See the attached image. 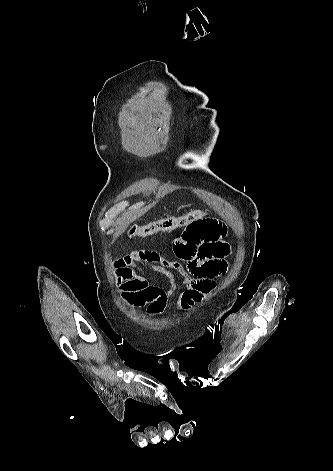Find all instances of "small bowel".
Segmentation results:
<instances>
[{
	"mask_svg": "<svg viewBox=\"0 0 333 471\" xmlns=\"http://www.w3.org/2000/svg\"><path fill=\"white\" fill-rule=\"evenodd\" d=\"M226 232L221 220L203 216L174 240V252L180 261L146 249L118 259L113 269L120 298L130 306L145 307V314L156 318L168 306L180 280L184 290L178 296L177 307L191 310L208 298L217 285L216 278L227 270L230 246L224 240ZM146 273L164 278L166 284H151Z\"/></svg>",
	"mask_w": 333,
	"mask_h": 471,
	"instance_id": "1",
	"label": "small bowel"
}]
</instances>
